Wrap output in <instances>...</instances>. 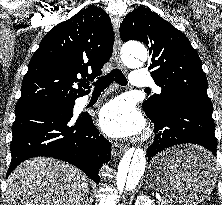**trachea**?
<instances>
[{
	"mask_svg": "<svg viewBox=\"0 0 222 205\" xmlns=\"http://www.w3.org/2000/svg\"><path fill=\"white\" fill-rule=\"evenodd\" d=\"M113 81L118 83L121 86L127 85V79L121 70L115 68L112 69L106 76L102 77L98 81L94 82V90H104L106 89Z\"/></svg>",
	"mask_w": 222,
	"mask_h": 205,
	"instance_id": "obj_1",
	"label": "trachea"
}]
</instances>
